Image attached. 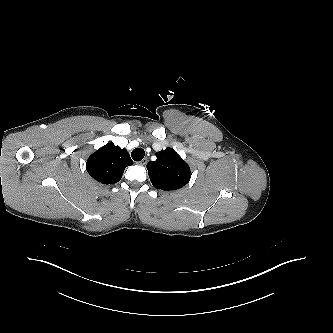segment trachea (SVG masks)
I'll return each instance as SVG.
<instances>
[{
	"instance_id": "obj_1",
	"label": "trachea",
	"mask_w": 333,
	"mask_h": 333,
	"mask_svg": "<svg viewBox=\"0 0 333 333\" xmlns=\"http://www.w3.org/2000/svg\"><path fill=\"white\" fill-rule=\"evenodd\" d=\"M145 155V151L142 148H136L132 151L131 156L134 161H141Z\"/></svg>"
}]
</instances>
